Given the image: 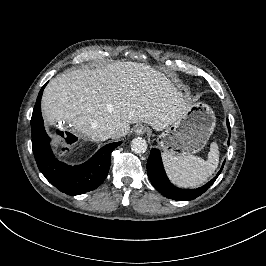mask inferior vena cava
Returning <instances> with one entry per match:
<instances>
[{
    "mask_svg": "<svg viewBox=\"0 0 266 266\" xmlns=\"http://www.w3.org/2000/svg\"><path fill=\"white\" fill-rule=\"evenodd\" d=\"M115 133H116L115 129L103 128L102 132H100L101 134L100 140H107L109 137H111Z\"/></svg>",
    "mask_w": 266,
    "mask_h": 266,
    "instance_id": "inferior-vena-cava-1",
    "label": "inferior vena cava"
}]
</instances>
